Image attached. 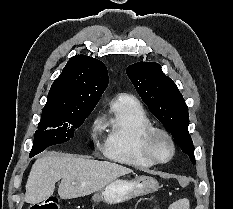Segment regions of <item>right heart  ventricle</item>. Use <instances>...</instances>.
Returning <instances> with one entry per match:
<instances>
[{"instance_id":"obj_1","label":"right heart ventricle","mask_w":233,"mask_h":209,"mask_svg":"<svg viewBox=\"0 0 233 209\" xmlns=\"http://www.w3.org/2000/svg\"><path fill=\"white\" fill-rule=\"evenodd\" d=\"M102 124L107 129L102 147L106 157L139 168H149L155 164L143 149L144 135L153 124L134 97L127 94L115 97L108 106Z\"/></svg>"}]
</instances>
